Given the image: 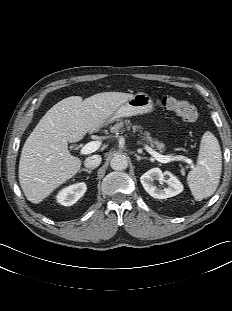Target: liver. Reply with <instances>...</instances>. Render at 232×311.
Masks as SVG:
<instances>
[{
	"instance_id": "obj_1",
	"label": "liver",
	"mask_w": 232,
	"mask_h": 311,
	"mask_svg": "<svg viewBox=\"0 0 232 311\" xmlns=\"http://www.w3.org/2000/svg\"><path fill=\"white\" fill-rule=\"evenodd\" d=\"M133 94L97 93L83 100L67 97L41 118L22 148L19 182L26 198L38 204L75 176L81 160L68 151V142H78L90 130L101 127Z\"/></svg>"
}]
</instances>
